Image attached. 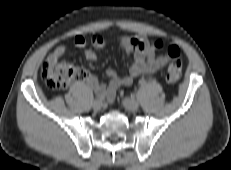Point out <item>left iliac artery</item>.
Segmentation results:
<instances>
[{"label":"left iliac artery","mask_w":231,"mask_h":170,"mask_svg":"<svg viewBox=\"0 0 231 170\" xmlns=\"http://www.w3.org/2000/svg\"><path fill=\"white\" fill-rule=\"evenodd\" d=\"M140 85H144L145 84V81L144 80H140Z\"/></svg>","instance_id":"left-iliac-artery-1"}]
</instances>
